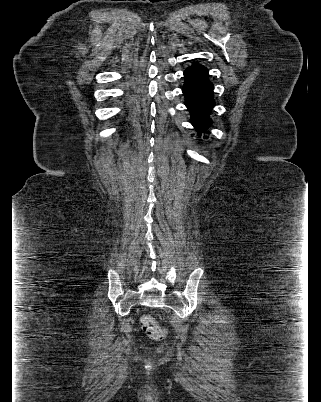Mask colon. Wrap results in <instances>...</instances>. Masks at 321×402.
<instances>
[{"instance_id":"obj_1","label":"colon","mask_w":321,"mask_h":402,"mask_svg":"<svg viewBox=\"0 0 321 402\" xmlns=\"http://www.w3.org/2000/svg\"><path fill=\"white\" fill-rule=\"evenodd\" d=\"M142 329L153 339L161 340L165 337V330L150 315H144L141 318Z\"/></svg>"}]
</instances>
